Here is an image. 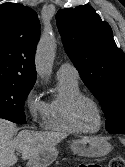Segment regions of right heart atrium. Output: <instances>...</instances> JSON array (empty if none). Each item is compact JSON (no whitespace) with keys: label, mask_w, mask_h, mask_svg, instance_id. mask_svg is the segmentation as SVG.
<instances>
[{"label":"right heart atrium","mask_w":125,"mask_h":167,"mask_svg":"<svg viewBox=\"0 0 125 167\" xmlns=\"http://www.w3.org/2000/svg\"><path fill=\"white\" fill-rule=\"evenodd\" d=\"M23 105L32 122L43 123L46 103L41 99V95L35 88L27 92Z\"/></svg>","instance_id":"d8ad5b80"}]
</instances>
